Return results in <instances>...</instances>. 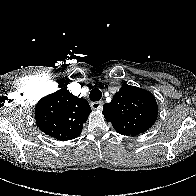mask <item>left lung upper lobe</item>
Listing matches in <instances>:
<instances>
[{
	"instance_id": "obj_1",
	"label": "left lung upper lobe",
	"mask_w": 196,
	"mask_h": 196,
	"mask_svg": "<svg viewBox=\"0 0 196 196\" xmlns=\"http://www.w3.org/2000/svg\"><path fill=\"white\" fill-rule=\"evenodd\" d=\"M103 114L119 134L135 136L146 132L155 123L158 106L155 97L144 89L123 85Z\"/></svg>"
}]
</instances>
